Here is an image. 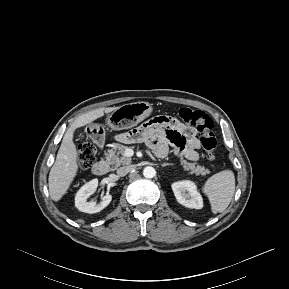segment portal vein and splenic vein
Wrapping results in <instances>:
<instances>
[{
  "label": "portal vein and splenic vein",
  "mask_w": 289,
  "mask_h": 289,
  "mask_svg": "<svg viewBox=\"0 0 289 289\" xmlns=\"http://www.w3.org/2000/svg\"><path fill=\"white\" fill-rule=\"evenodd\" d=\"M134 155V151L132 149H126L125 156L126 157H132Z\"/></svg>",
  "instance_id": "obj_1"
}]
</instances>
